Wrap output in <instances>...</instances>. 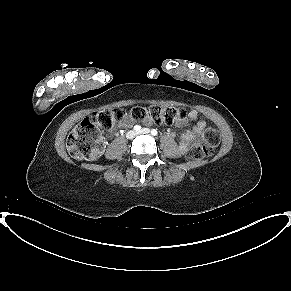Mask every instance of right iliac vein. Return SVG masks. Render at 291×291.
<instances>
[{"label":"right iliac vein","instance_id":"right-iliac-vein-1","mask_svg":"<svg viewBox=\"0 0 291 291\" xmlns=\"http://www.w3.org/2000/svg\"><path fill=\"white\" fill-rule=\"evenodd\" d=\"M136 135H137V133L134 130H130L127 132L126 137L128 139H133Z\"/></svg>","mask_w":291,"mask_h":291}]
</instances>
